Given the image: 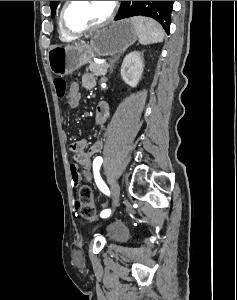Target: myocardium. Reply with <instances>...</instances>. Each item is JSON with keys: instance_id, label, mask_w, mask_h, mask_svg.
Listing matches in <instances>:
<instances>
[{"instance_id": "f54148a6", "label": "myocardium", "mask_w": 237, "mask_h": 300, "mask_svg": "<svg viewBox=\"0 0 237 300\" xmlns=\"http://www.w3.org/2000/svg\"><path fill=\"white\" fill-rule=\"evenodd\" d=\"M70 3H71V1H65V3L62 6L61 12H60V26H61L62 30L69 36H79L84 33L96 31V30H99V29H102V28L108 26L114 20L116 13H117V9H118L117 1H111V10H110L108 16L103 21H101L100 23L95 24L93 26L84 28L82 30L74 31L67 26L66 18H65L66 11H67V8Z\"/></svg>"}]
</instances>
